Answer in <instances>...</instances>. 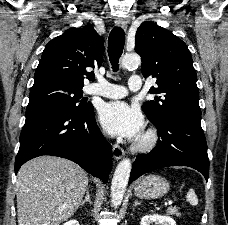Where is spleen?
Wrapping results in <instances>:
<instances>
[{"mask_svg":"<svg viewBox=\"0 0 228 225\" xmlns=\"http://www.w3.org/2000/svg\"><path fill=\"white\" fill-rule=\"evenodd\" d=\"M186 199L189 201L190 205H198L197 195H195L193 189H189Z\"/></svg>","mask_w":228,"mask_h":225,"instance_id":"1","label":"spleen"}]
</instances>
